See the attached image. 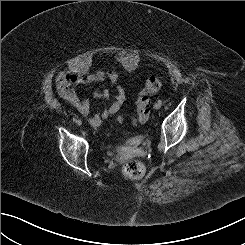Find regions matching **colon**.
I'll return each mask as SVG.
<instances>
[{"mask_svg":"<svg viewBox=\"0 0 245 245\" xmlns=\"http://www.w3.org/2000/svg\"><path fill=\"white\" fill-rule=\"evenodd\" d=\"M162 88V82L157 77L147 79L143 89L139 93L136 100L137 115L134 121L144 123L148 120L150 114V96L157 93ZM123 174L129 179L139 180L145 174V166L138 160L128 161L123 166Z\"/></svg>","mask_w":245,"mask_h":245,"instance_id":"colon-1","label":"colon"}]
</instances>
